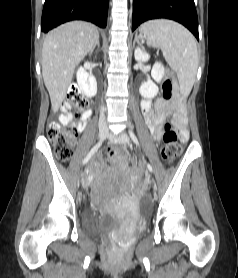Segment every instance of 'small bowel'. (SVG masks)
I'll return each mask as SVG.
<instances>
[{
  "instance_id": "1",
  "label": "small bowel",
  "mask_w": 238,
  "mask_h": 278,
  "mask_svg": "<svg viewBox=\"0 0 238 278\" xmlns=\"http://www.w3.org/2000/svg\"><path fill=\"white\" fill-rule=\"evenodd\" d=\"M141 109L148 124L149 131L154 139H161L162 135L164 134V122L170 115L173 116L172 121L177 129L180 139L182 141H186L188 139L189 135L185 119L183 97H177L170 101L164 98H159L156 101L154 108H152L151 100L145 99L141 103ZM89 115L90 113H86L80 118L77 127L80 132L86 128ZM59 121L62 124H68L71 121V115L63 113L60 115Z\"/></svg>"
}]
</instances>
